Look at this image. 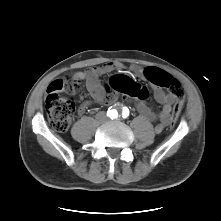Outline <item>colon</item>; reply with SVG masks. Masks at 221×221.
<instances>
[{"label": "colon", "mask_w": 221, "mask_h": 221, "mask_svg": "<svg viewBox=\"0 0 221 221\" xmlns=\"http://www.w3.org/2000/svg\"><path fill=\"white\" fill-rule=\"evenodd\" d=\"M145 73L152 83L168 89L171 94L177 97L182 95L180 82L169 73L156 68H147ZM78 91L79 85L68 81V79H57L50 84L46 97V111L49 121L55 130L59 132L66 131L75 110L74 101L71 98L61 96L60 93L76 94ZM125 92L130 97L143 100L149 97L148 88L134 82L125 88ZM179 113V106L175 105L172 114L174 117H177Z\"/></svg>", "instance_id": "colon-1"}]
</instances>
